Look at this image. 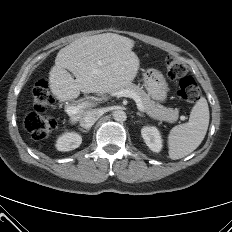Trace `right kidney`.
<instances>
[{
    "label": "right kidney",
    "instance_id": "ca27d5eb",
    "mask_svg": "<svg viewBox=\"0 0 232 232\" xmlns=\"http://www.w3.org/2000/svg\"><path fill=\"white\" fill-rule=\"evenodd\" d=\"M82 143V137L75 132H67L61 135L57 142L56 148L59 151H71L78 148Z\"/></svg>",
    "mask_w": 232,
    "mask_h": 232
}]
</instances>
